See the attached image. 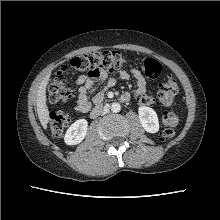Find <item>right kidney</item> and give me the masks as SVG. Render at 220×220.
Instances as JSON below:
<instances>
[{
  "instance_id": "right-kidney-1",
  "label": "right kidney",
  "mask_w": 220,
  "mask_h": 220,
  "mask_svg": "<svg viewBox=\"0 0 220 220\" xmlns=\"http://www.w3.org/2000/svg\"><path fill=\"white\" fill-rule=\"evenodd\" d=\"M88 122L85 119H79L74 122L66 131L64 141L68 145H76L83 141L87 133Z\"/></svg>"
}]
</instances>
